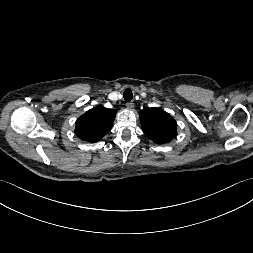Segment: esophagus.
<instances>
[{"label":"esophagus","instance_id":"obj_1","mask_svg":"<svg viewBox=\"0 0 253 253\" xmlns=\"http://www.w3.org/2000/svg\"><path fill=\"white\" fill-rule=\"evenodd\" d=\"M126 107H127V109L131 110V109L134 108V103L133 102H127Z\"/></svg>","mask_w":253,"mask_h":253}]
</instances>
